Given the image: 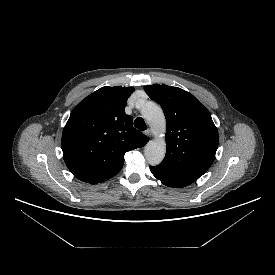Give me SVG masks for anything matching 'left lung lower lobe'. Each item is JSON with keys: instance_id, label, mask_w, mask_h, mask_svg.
<instances>
[{"instance_id": "left-lung-lower-lobe-1", "label": "left lung lower lobe", "mask_w": 275, "mask_h": 275, "mask_svg": "<svg viewBox=\"0 0 275 275\" xmlns=\"http://www.w3.org/2000/svg\"><path fill=\"white\" fill-rule=\"evenodd\" d=\"M150 170L158 180L169 187L182 188L194 182L193 179L187 176L175 173L173 171L160 167L159 165L150 166Z\"/></svg>"}]
</instances>
